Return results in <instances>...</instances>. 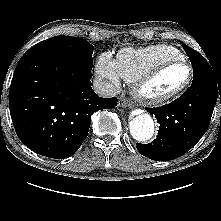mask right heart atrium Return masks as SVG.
Returning <instances> with one entry per match:
<instances>
[{
	"mask_svg": "<svg viewBox=\"0 0 221 221\" xmlns=\"http://www.w3.org/2000/svg\"><path fill=\"white\" fill-rule=\"evenodd\" d=\"M96 75L98 78L107 80L114 86L120 84V75L118 73L116 62L109 53L101 54L96 62Z\"/></svg>",
	"mask_w": 221,
	"mask_h": 221,
	"instance_id": "1",
	"label": "right heart atrium"
}]
</instances>
